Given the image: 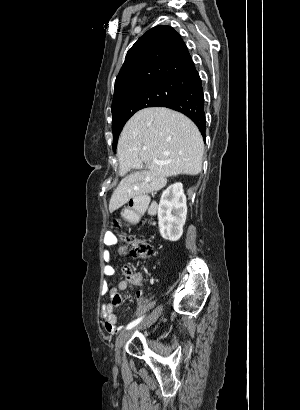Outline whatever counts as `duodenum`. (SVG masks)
Returning <instances> with one entry per match:
<instances>
[{
	"label": "duodenum",
	"instance_id": "duodenum-1",
	"mask_svg": "<svg viewBox=\"0 0 300 410\" xmlns=\"http://www.w3.org/2000/svg\"><path fill=\"white\" fill-rule=\"evenodd\" d=\"M155 211V206L144 198H137L130 207V221L138 222L145 214H152Z\"/></svg>",
	"mask_w": 300,
	"mask_h": 410
}]
</instances>
